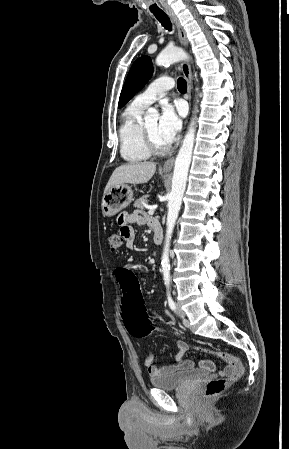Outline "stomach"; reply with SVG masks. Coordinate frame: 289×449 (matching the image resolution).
<instances>
[{
  "label": "stomach",
  "mask_w": 289,
  "mask_h": 449,
  "mask_svg": "<svg viewBox=\"0 0 289 449\" xmlns=\"http://www.w3.org/2000/svg\"><path fill=\"white\" fill-rule=\"evenodd\" d=\"M133 200L132 188L127 183L111 187L102 198V212L104 216H114L128 207Z\"/></svg>",
  "instance_id": "stomach-1"
}]
</instances>
